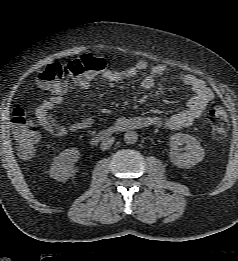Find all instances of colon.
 I'll return each mask as SVG.
<instances>
[{"mask_svg":"<svg viewBox=\"0 0 238 261\" xmlns=\"http://www.w3.org/2000/svg\"><path fill=\"white\" fill-rule=\"evenodd\" d=\"M106 66L103 59L92 54H84L66 63H51L37 76L39 85L52 92H64L69 79L91 77L100 73ZM212 134L224 138L227 133V113L219 103H213L209 109ZM12 132L17 143L18 154L30 158L41 139L38 128L28 119L24 109L16 108L12 113Z\"/></svg>","mask_w":238,"mask_h":261,"instance_id":"1","label":"colon"}]
</instances>
